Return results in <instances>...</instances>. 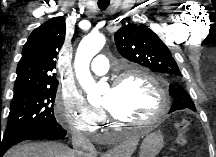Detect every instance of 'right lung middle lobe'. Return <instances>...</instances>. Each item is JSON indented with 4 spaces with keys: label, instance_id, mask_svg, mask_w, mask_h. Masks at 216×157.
I'll use <instances>...</instances> for the list:
<instances>
[{
    "label": "right lung middle lobe",
    "instance_id": "1",
    "mask_svg": "<svg viewBox=\"0 0 216 157\" xmlns=\"http://www.w3.org/2000/svg\"><path fill=\"white\" fill-rule=\"evenodd\" d=\"M56 91L57 87L42 88L14 95L2 140L31 129L59 125L53 109Z\"/></svg>",
    "mask_w": 216,
    "mask_h": 157
}]
</instances>
